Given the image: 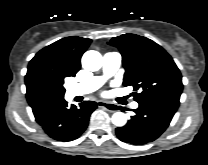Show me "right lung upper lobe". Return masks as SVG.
<instances>
[{
  "instance_id": "obj_1",
  "label": "right lung upper lobe",
  "mask_w": 208,
  "mask_h": 165,
  "mask_svg": "<svg viewBox=\"0 0 208 165\" xmlns=\"http://www.w3.org/2000/svg\"><path fill=\"white\" fill-rule=\"evenodd\" d=\"M90 43V39L77 36L60 39L39 51L30 61L29 66H31L34 62L40 63L42 60H45L50 68L61 70L70 76H75L81 67V56L86 51ZM60 100L61 99H53L41 102L28 101V103L35 115L47 105Z\"/></svg>"
}]
</instances>
